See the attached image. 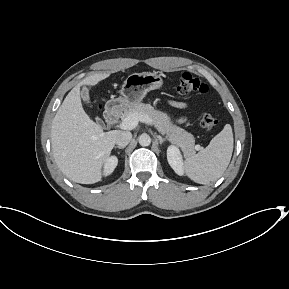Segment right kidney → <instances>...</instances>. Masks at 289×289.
<instances>
[{
  "label": "right kidney",
  "mask_w": 289,
  "mask_h": 289,
  "mask_svg": "<svg viewBox=\"0 0 289 289\" xmlns=\"http://www.w3.org/2000/svg\"><path fill=\"white\" fill-rule=\"evenodd\" d=\"M117 164L118 159L116 156L109 157L104 164V175H110L116 168Z\"/></svg>",
  "instance_id": "1"
}]
</instances>
